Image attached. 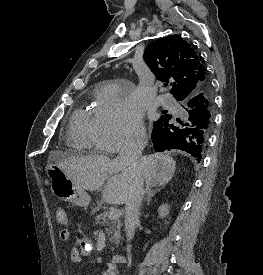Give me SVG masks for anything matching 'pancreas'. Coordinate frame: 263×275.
<instances>
[{
	"instance_id": "obj_1",
	"label": "pancreas",
	"mask_w": 263,
	"mask_h": 275,
	"mask_svg": "<svg viewBox=\"0 0 263 275\" xmlns=\"http://www.w3.org/2000/svg\"><path fill=\"white\" fill-rule=\"evenodd\" d=\"M93 211H96V209H94ZM108 215V211L100 213L95 217V220L97 224H106L105 232L106 234H108V236H110L109 241L117 245L121 238V222L119 219H114L110 221Z\"/></svg>"
}]
</instances>
